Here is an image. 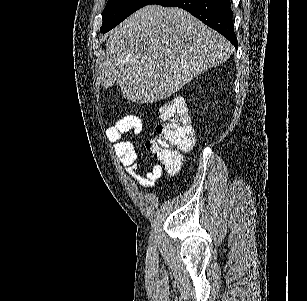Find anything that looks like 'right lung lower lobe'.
Wrapping results in <instances>:
<instances>
[{"label":"right lung lower lobe","instance_id":"98d812e1","mask_svg":"<svg viewBox=\"0 0 307 301\" xmlns=\"http://www.w3.org/2000/svg\"><path fill=\"white\" fill-rule=\"evenodd\" d=\"M151 4L180 7L227 38L237 49L230 0H155Z\"/></svg>","mask_w":307,"mask_h":301}]
</instances>
